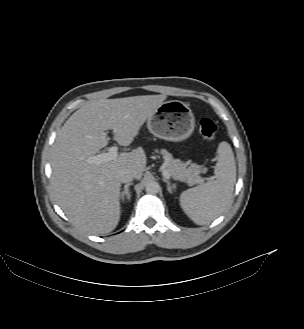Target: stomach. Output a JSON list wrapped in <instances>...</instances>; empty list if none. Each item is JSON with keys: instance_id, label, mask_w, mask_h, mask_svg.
I'll return each instance as SVG.
<instances>
[{"instance_id": "obj_1", "label": "stomach", "mask_w": 304, "mask_h": 329, "mask_svg": "<svg viewBox=\"0 0 304 329\" xmlns=\"http://www.w3.org/2000/svg\"><path fill=\"white\" fill-rule=\"evenodd\" d=\"M147 127L156 137L180 142L194 131L195 118L190 107L179 100L163 102L148 118Z\"/></svg>"}]
</instances>
